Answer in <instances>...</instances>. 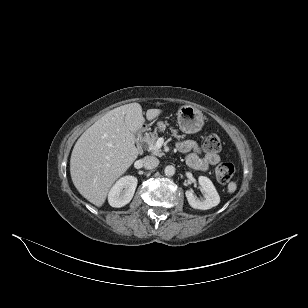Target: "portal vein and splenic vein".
<instances>
[{
    "label": "portal vein and splenic vein",
    "mask_w": 308,
    "mask_h": 308,
    "mask_svg": "<svg viewBox=\"0 0 308 308\" xmlns=\"http://www.w3.org/2000/svg\"><path fill=\"white\" fill-rule=\"evenodd\" d=\"M163 143H164V140H163L162 138H159V139L156 141L155 145H154L153 147H151V148L160 149V148L162 147Z\"/></svg>",
    "instance_id": "18ae733b"
}]
</instances>
